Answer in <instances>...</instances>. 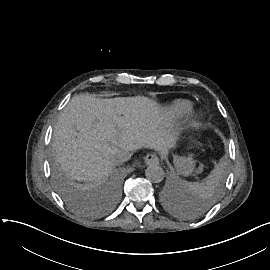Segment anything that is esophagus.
Instances as JSON below:
<instances>
[{"mask_svg": "<svg viewBox=\"0 0 270 270\" xmlns=\"http://www.w3.org/2000/svg\"><path fill=\"white\" fill-rule=\"evenodd\" d=\"M144 162L146 165H157L159 164V157L156 154H148Z\"/></svg>", "mask_w": 270, "mask_h": 270, "instance_id": "34e87169", "label": "esophagus"}]
</instances>
